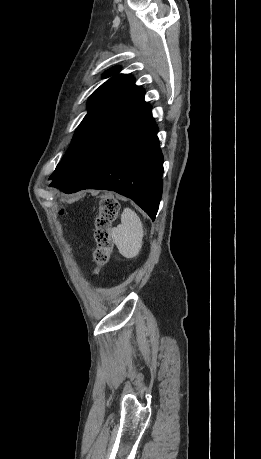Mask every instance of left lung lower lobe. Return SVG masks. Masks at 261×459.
Returning a JSON list of instances; mask_svg holds the SVG:
<instances>
[{
  "mask_svg": "<svg viewBox=\"0 0 261 459\" xmlns=\"http://www.w3.org/2000/svg\"><path fill=\"white\" fill-rule=\"evenodd\" d=\"M146 102L86 163L57 188L112 190L139 205L152 220L162 195L163 156Z\"/></svg>",
  "mask_w": 261,
  "mask_h": 459,
  "instance_id": "1",
  "label": "left lung lower lobe"
}]
</instances>
